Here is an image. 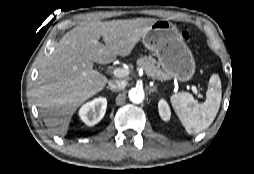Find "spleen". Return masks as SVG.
Listing matches in <instances>:
<instances>
[{"mask_svg": "<svg viewBox=\"0 0 254 174\" xmlns=\"http://www.w3.org/2000/svg\"><path fill=\"white\" fill-rule=\"evenodd\" d=\"M221 99V81L218 75H212L204 103H197L188 92L174 94L170 101L187 133L197 134L212 124L219 111Z\"/></svg>", "mask_w": 254, "mask_h": 174, "instance_id": "3e777b00", "label": "spleen"}]
</instances>
